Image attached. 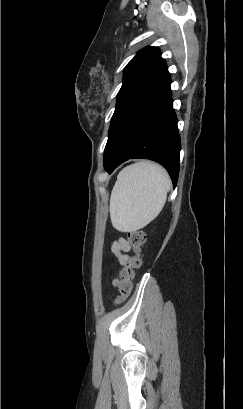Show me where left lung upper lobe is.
<instances>
[{"mask_svg":"<svg viewBox=\"0 0 243 409\" xmlns=\"http://www.w3.org/2000/svg\"><path fill=\"white\" fill-rule=\"evenodd\" d=\"M165 65L157 47L140 50L124 69L123 84L117 95L108 141L104 152V166L113 162L117 155L115 127L123 113L131 105L148 81Z\"/></svg>","mask_w":243,"mask_h":409,"instance_id":"5c2ea615","label":"left lung upper lobe"}]
</instances>
